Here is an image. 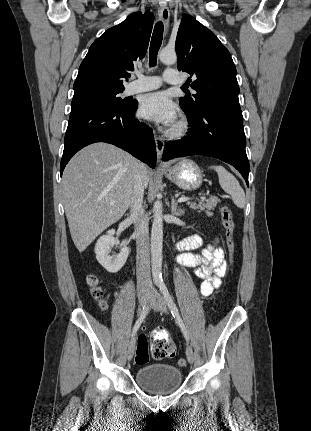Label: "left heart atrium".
I'll use <instances>...</instances> for the list:
<instances>
[{
    "label": "left heart atrium",
    "instance_id": "obj_1",
    "mask_svg": "<svg viewBox=\"0 0 311 431\" xmlns=\"http://www.w3.org/2000/svg\"><path fill=\"white\" fill-rule=\"evenodd\" d=\"M141 117L153 122L172 125L175 123L178 108L167 92H153L145 95L139 106Z\"/></svg>",
    "mask_w": 311,
    "mask_h": 431
}]
</instances>
